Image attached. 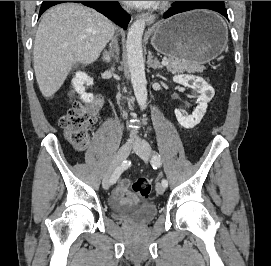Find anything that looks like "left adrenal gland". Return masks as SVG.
Segmentation results:
<instances>
[{"label": "left adrenal gland", "instance_id": "obj_1", "mask_svg": "<svg viewBox=\"0 0 271 266\" xmlns=\"http://www.w3.org/2000/svg\"><path fill=\"white\" fill-rule=\"evenodd\" d=\"M148 63H149V65H150L154 70L162 69V68H163V66L159 63V61L157 60V58H154V59H153L152 53H149V56H148Z\"/></svg>", "mask_w": 271, "mask_h": 266}]
</instances>
